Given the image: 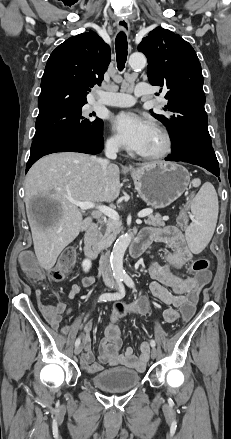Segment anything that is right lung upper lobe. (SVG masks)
<instances>
[{"label": "right lung upper lobe", "instance_id": "obj_1", "mask_svg": "<svg viewBox=\"0 0 231 439\" xmlns=\"http://www.w3.org/2000/svg\"><path fill=\"white\" fill-rule=\"evenodd\" d=\"M110 57V47L91 30L54 49L41 80L37 118L85 105L90 88L101 84Z\"/></svg>", "mask_w": 231, "mask_h": 439}]
</instances>
